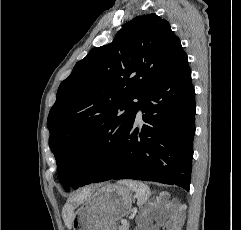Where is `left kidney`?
<instances>
[{
	"label": "left kidney",
	"instance_id": "5707ae66",
	"mask_svg": "<svg viewBox=\"0 0 241 230\" xmlns=\"http://www.w3.org/2000/svg\"><path fill=\"white\" fill-rule=\"evenodd\" d=\"M147 215H148V212L145 211L144 217H146V221L143 222V224L139 226V229H138V230H155V226H153V225L151 224V219H152V217L147 218Z\"/></svg>",
	"mask_w": 241,
	"mask_h": 230
}]
</instances>
